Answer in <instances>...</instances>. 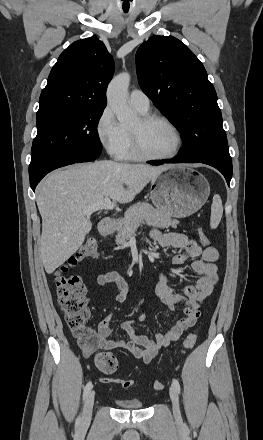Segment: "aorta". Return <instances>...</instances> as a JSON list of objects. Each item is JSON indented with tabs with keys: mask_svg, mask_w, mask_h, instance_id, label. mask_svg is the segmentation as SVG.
Listing matches in <instances>:
<instances>
[{
	"mask_svg": "<svg viewBox=\"0 0 263 440\" xmlns=\"http://www.w3.org/2000/svg\"><path fill=\"white\" fill-rule=\"evenodd\" d=\"M130 75L126 72L112 79L107 89V102L121 124H130L137 119V114L127 103Z\"/></svg>",
	"mask_w": 263,
	"mask_h": 440,
	"instance_id": "obj_1",
	"label": "aorta"
}]
</instances>
